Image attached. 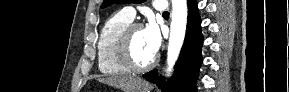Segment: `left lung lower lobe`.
<instances>
[{"mask_svg": "<svg viewBox=\"0 0 289 92\" xmlns=\"http://www.w3.org/2000/svg\"><path fill=\"white\" fill-rule=\"evenodd\" d=\"M203 36L201 20L196 0H188V22L184 45L175 67V75L168 82L159 78L157 69L143 75L151 83H156L162 92H197L196 80L202 62L201 47Z\"/></svg>", "mask_w": 289, "mask_h": 92, "instance_id": "1", "label": "left lung lower lobe"}]
</instances>
